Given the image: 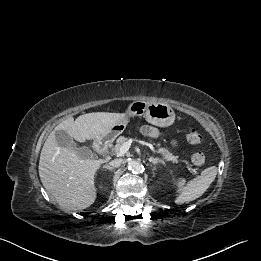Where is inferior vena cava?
Wrapping results in <instances>:
<instances>
[{
  "mask_svg": "<svg viewBox=\"0 0 261 261\" xmlns=\"http://www.w3.org/2000/svg\"><path fill=\"white\" fill-rule=\"evenodd\" d=\"M121 164H122V159H114L110 161L108 165L112 168H118L121 166Z\"/></svg>",
  "mask_w": 261,
  "mask_h": 261,
  "instance_id": "inferior-vena-cava-1",
  "label": "inferior vena cava"
}]
</instances>
